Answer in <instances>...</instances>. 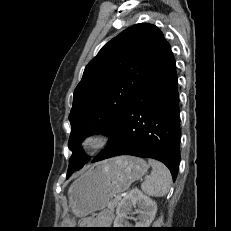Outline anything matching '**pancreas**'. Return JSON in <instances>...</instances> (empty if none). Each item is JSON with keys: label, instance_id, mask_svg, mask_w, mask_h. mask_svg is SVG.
I'll list each match as a JSON object with an SVG mask.
<instances>
[{"label": "pancreas", "instance_id": "1", "mask_svg": "<svg viewBox=\"0 0 231 231\" xmlns=\"http://www.w3.org/2000/svg\"><path fill=\"white\" fill-rule=\"evenodd\" d=\"M121 199L114 198L108 203V208L114 210L120 203Z\"/></svg>", "mask_w": 231, "mask_h": 231}]
</instances>
